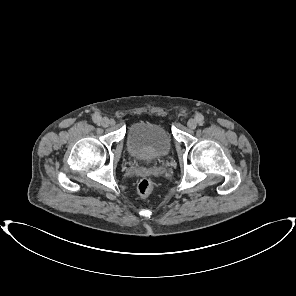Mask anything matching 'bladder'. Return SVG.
I'll return each instance as SVG.
<instances>
[{
  "instance_id": "obj_1",
  "label": "bladder",
  "mask_w": 296,
  "mask_h": 296,
  "mask_svg": "<svg viewBox=\"0 0 296 296\" xmlns=\"http://www.w3.org/2000/svg\"><path fill=\"white\" fill-rule=\"evenodd\" d=\"M171 147V136L161 124L141 121L134 123L127 132V151L137 159L152 161L164 157Z\"/></svg>"
}]
</instances>
